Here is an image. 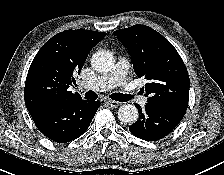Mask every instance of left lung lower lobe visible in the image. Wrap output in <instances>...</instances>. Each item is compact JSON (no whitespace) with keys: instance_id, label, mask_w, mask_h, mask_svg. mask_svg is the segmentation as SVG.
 <instances>
[{"instance_id":"obj_1","label":"left lung lower lobe","mask_w":224,"mask_h":175,"mask_svg":"<svg viewBox=\"0 0 224 175\" xmlns=\"http://www.w3.org/2000/svg\"><path fill=\"white\" fill-rule=\"evenodd\" d=\"M135 105L139 111V120L129 130L134 136L146 141H156L167 136L186 113L184 108L169 105L148 102L144 109Z\"/></svg>"}]
</instances>
